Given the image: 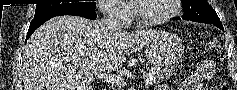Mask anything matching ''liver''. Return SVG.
Listing matches in <instances>:
<instances>
[{"instance_id": "1", "label": "liver", "mask_w": 237, "mask_h": 90, "mask_svg": "<svg viewBox=\"0 0 237 90\" xmlns=\"http://www.w3.org/2000/svg\"><path fill=\"white\" fill-rule=\"evenodd\" d=\"M103 28V26H102ZM99 20L51 18L30 36L22 56L24 90H92L94 76L122 68L124 54L142 50L155 30L105 32Z\"/></svg>"}]
</instances>
